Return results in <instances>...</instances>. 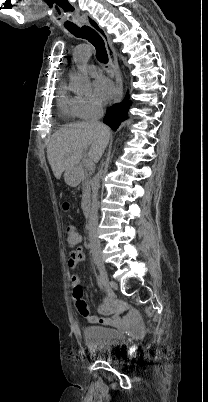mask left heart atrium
<instances>
[{"label":"left heart atrium","instance_id":"obj_1","mask_svg":"<svg viewBox=\"0 0 208 402\" xmlns=\"http://www.w3.org/2000/svg\"><path fill=\"white\" fill-rule=\"evenodd\" d=\"M96 96L104 102L111 101L115 96V87L113 83L104 76H99L94 82Z\"/></svg>","mask_w":208,"mask_h":402}]
</instances>
